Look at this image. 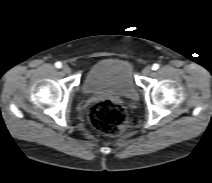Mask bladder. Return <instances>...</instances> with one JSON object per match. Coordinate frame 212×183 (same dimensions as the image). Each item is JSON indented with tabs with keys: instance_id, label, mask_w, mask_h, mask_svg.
Wrapping results in <instances>:
<instances>
[{
	"instance_id": "obj_1",
	"label": "bladder",
	"mask_w": 212,
	"mask_h": 183,
	"mask_svg": "<svg viewBox=\"0 0 212 183\" xmlns=\"http://www.w3.org/2000/svg\"><path fill=\"white\" fill-rule=\"evenodd\" d=\"M82 89L88 94H112L134 98L137 94L128 61L107 58L95 63L86 73Z\"/></svg>"
}]
</instances>
